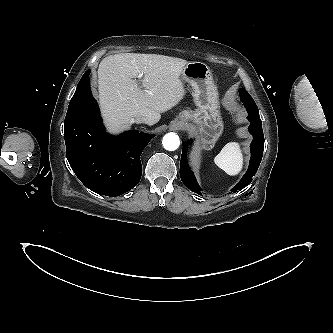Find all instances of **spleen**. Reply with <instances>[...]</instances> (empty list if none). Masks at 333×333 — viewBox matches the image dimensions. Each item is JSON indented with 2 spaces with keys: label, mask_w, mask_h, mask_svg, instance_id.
Returning <instances> with one entry per match:
<instances>
[{
  "label": "spleen",
  "mask_w": 333,
  "mask_h": 333,
  "mask_svg": "<svg viewBox=\"0 0 333 333\" xmlns=\"http://www.w3.org/2000/svg\"><path fill=\"white\" fill-rule=\"evenodd\" d=\"M215 164L228 175L235 176L243 167V155L237 142L227 143L214 159Z\"/></svg>",
  "instance_id": "3e777b00"
}]
</instances>
